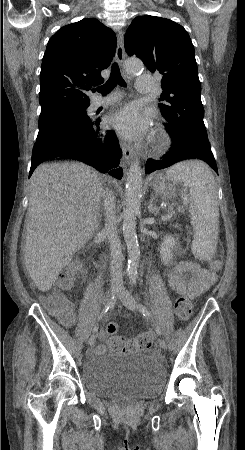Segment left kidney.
I'll list each match as a JSON object with an SVG mask.
<instances>
[{"mask_svg":"<svg viewBox=\"0 0 245 450\" xmlns=\"http://www.w3.org/2000/svg\"><path fill=\"white\" fill-rule=\"evenodd\" d=\"M176 240L171 235L164 236L163 242L159 247L161 261L164 265H167L173 259V248L175 247Z\"/></svg>","mask_w":245,"mask_h":450,"instance_id":"obj_1","label":"left kidney"}]
</instances>
